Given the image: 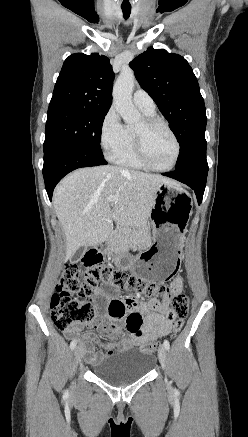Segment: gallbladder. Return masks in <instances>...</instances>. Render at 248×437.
I'll list each match as a JSON object with an SVG mask.
<instances>
[{"instance_id":"gallbladder-1","label":"gallbladder","mask_w":248,"mask_h":437,"mask_svg":"<svg viewBox=\"0 0 248 437\" xmlns=\"http://www.w3.org/2000/svg\"><path fill=\"white\" fill-rule=\"evenodd\" d=\"M85 247H80L72 256V260L73 261H78L84 254L85 252Z\"/></svg>"}]
</instances>
